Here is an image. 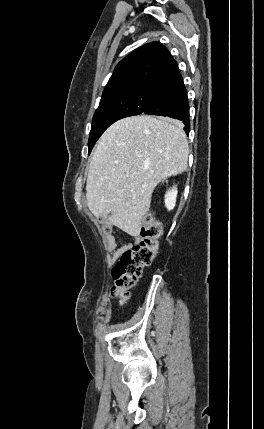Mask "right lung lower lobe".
I'll use <instances>...</instances> for the list:
<instances>
[{
    "label": "right lung lower lobe",
    "instance_id": "obj_1",
    "mask_svg": "<svg viewBox=\"0 0 264 429\" xmlns=\"http://www.w3.org/2000/svg\"><path fill=\"white\" fill-rule=\"evenodd\" d=\"M143 113L180 120L184 124V131L189 134L187 91L179 71L160 86L159 91L149 102Z\"/></svg>",
    "mask_w": 264,
    "mask_h": 429
}]
</instances>
